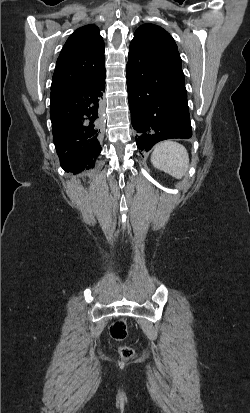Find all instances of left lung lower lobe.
Here are the masks:
<instances>
[{
    "mask_svg": "<svg viewBox=\"0 0 250 413\" xmlns=\"http://www.w3.org/2000/svg\"><path fill=\"white\" fill-rule=\"evenodd\" d=\"M131 123L140 151L192 136L183 71L148 38L130 45L126 67Z\"/></svg>",
    "mask_w": 250,
    "mask_h": 413,
    "instance_id": "obj_1",
    "label": "left lung lower lobe"
}]
</instances>
